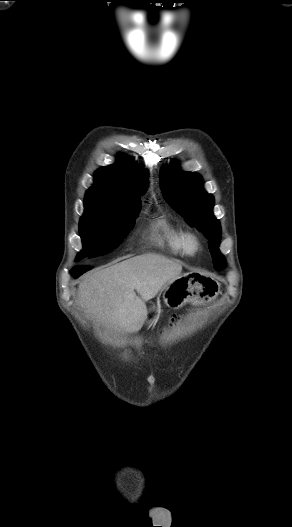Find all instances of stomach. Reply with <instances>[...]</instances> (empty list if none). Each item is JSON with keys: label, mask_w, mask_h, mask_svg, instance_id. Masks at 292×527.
<instances>
[{"label": "stomach", "mask_w": 292, "mask_h": 527, "mask_svg": "<svg viewBox=\"0 0 292 527\" xmlns=\"http://www.w3.org/2000/svg\"><path fill=\"white\" fill-rule=\"evenodd\" d=\"M220 290L219 283L198 273H186L171 279L163 288V298L167 306L180 308L187 302L201 304L214 299ZM162 313L161 305H153L147 313V322L156 323Z\"/></svg>", "instance_id": "obj_1"}]
</instances>
